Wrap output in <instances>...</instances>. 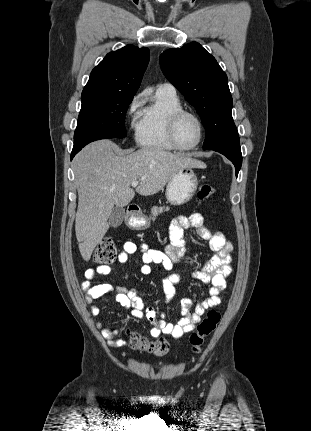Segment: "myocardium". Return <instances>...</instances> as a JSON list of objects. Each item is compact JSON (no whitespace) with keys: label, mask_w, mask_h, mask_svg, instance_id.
I'll list each match as a JSON object with an SVG mask.
<instances>
[{"label":"myocardium","mask_w":311,"mask_h":431,"mask_svg":"<svg viewBox=\"0 0 311 431\" xmlns=\"http://www.w3.org/2000/svg\"><path fill=\"white\" fill-rule=\"evenodd\" d=\"M185 115H192L195 118H197V120L200 124V127H201V135H200L198 141L194 145L189 146V147L182 146L180 144V142L178 140V136H177L178 124H179L181 118L184 117ZM168 133H169V138H170L172 144L175 146V148H177L179 150H183V151H189V150H193V149L197 148L202 143L203 138L207 133V127H206L204 119L202 118V116L199 113H197L193 110H190V109L183 108V109H180V110L174 112L170 116L169 124H168Z\"/></svg>","instance_id":"f54148a6"}]
</instances>
